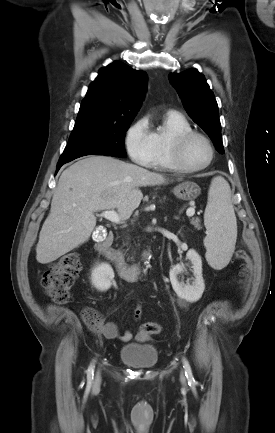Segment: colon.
Wrapping results in <instances>:
<instances>
[{"instance_id": "1", "label": "colon", "mask_w": 275, "mask_h": 433, "mask_svg": "<svg viewBox=\"0 0 275 433\" xmlns=\"http://www.w3.org/2000/svg\"><path fill=\"white\" fill-rule=\"evenodd\" d=\"M236 258L241 262L240 289L246 293L250 286L252 264L245 250H238ZM81 271V258L78 251H70L62 255L42 276V286L46 294L58 303H66L71 288ZM84 319L88 327L96 330L101 324V316L93 308H86ZM161 326L157 322H145L140 332L148 335L158 334Z\"/></svg>"}]
</instances>
